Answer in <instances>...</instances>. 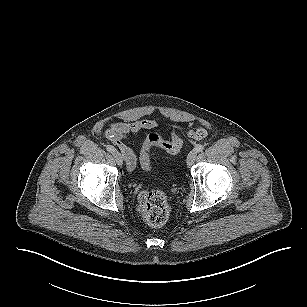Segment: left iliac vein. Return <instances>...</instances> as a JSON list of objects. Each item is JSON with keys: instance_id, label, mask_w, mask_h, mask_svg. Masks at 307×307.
I'll return each instance as SVG.
<instances>
[{"instance_id": "left-iliac-vein-1", "label": "left iliac vein", "mask_w": 307, "mask_h": 307, "mask_svg": "<svg viewBox=\"0 0 307 307\" xmlns=\"http://www.w3.org/2000/svg\"><path fill=\"white\" fill-rule=\"evenodd\" d=\"M197 156V152L195 150H192L189 152L188 156H187V165L188 166H192L195 162Z\"/></svg>"}]
</instances>
